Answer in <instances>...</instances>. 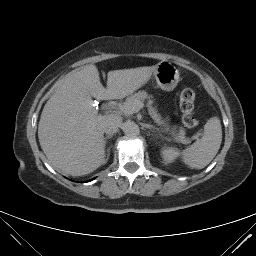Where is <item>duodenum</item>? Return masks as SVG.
<instances>
[{
    "mask_svg": "<svg viewBox=\"0 0 256 256\" xmlns=\"http://www.w3.org/2000/svg\"><path fill=\"white\" fill-rule=\"evenodd\" d=\"M108 109H109V110H112V106H109Z\"/></svg>",
    "mask_w": 256,
    "mask_h": 256,
    "instance_id": "410a0bca",
    "label": "duodenum"
}]
</instances>
